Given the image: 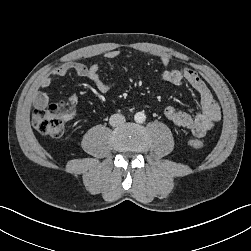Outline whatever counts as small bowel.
<instances>
[{"label":"small bowel","instance_id":"obj_1","mask_svg":"<svg viewBox=\"0 0 251 251\" xmlns=\"http://www.w3.org/2000/svg\"><path fill=\"white\" fill-rule=\"evenodd\" d=\"M119 54L120 52L118 50H111L105 53V58L108 60H114L118 58ZM161 64L166 68L162 74L164 81L174 85L187 82L198 93L200 98V112L197 115L191 116L173 106H167L164 109L165 117L176 126L189 129L196 137H203L207 131L212 129L216 123L219 122L221 118L220 107L213 94L194 70L188 67L171 69L169 68L171 60L168 57H162ZM99 70L100 64L97 62L89 65L79 62H68L55 68L52 71V75L55 77H61L69 71H73L80 77L88 78L100 93L106 94L116 86V83L105 81L100 75ZM51 84V77H45L40 81V87L42 89L49 88ZM48 102L49 98L44 92H39L35 97V105L37 107H44ZM69 102L72 106L77 105V95H70Z\"/></svg>","mask_w":251,"mask_h":251}]
</instances>
